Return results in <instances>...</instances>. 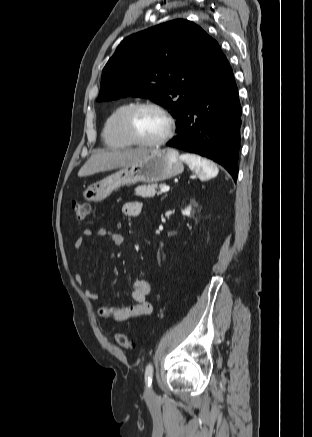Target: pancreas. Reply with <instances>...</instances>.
Here are the masks:
<instances>
[{
  "label": "pancreas",
  "mask_w": 312,
  "mask_h": 437,
  "mask_svg": "<svg viewBox=\"0 0 312 437\" xmlns=\"http://www.w3.org/2000/svg\"><path fill=\"white\" fill-rule=\"evenodd\" d=\"M158 188V186L156 184H152V185H142V186H138L135 189V194L137 196H141L143 198H152L154 197L156 194L159 195L161 194L160 192H157L156 189Z\"/></svg>",
  "instance_id": "1"
}]
</instances>
